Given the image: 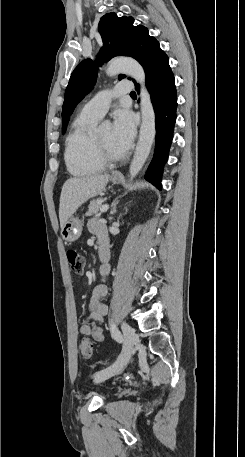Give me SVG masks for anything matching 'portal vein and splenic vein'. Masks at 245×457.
<instances>
[{"instance_id":"1","label":"portal vein and splenic vein","mask_w":245,"mask_h":457,"mask_svg":"<svg viewBox=\"0 0 245 457\" xmlns=\"http://www.w3.org/2000/svg\"><path fill=\"white\" fill-rule=\"evenodd\" d=\"M109 208V204H103V206H101L100 208V212H106V210H108Z\"/></svg>"}]
</instances>
